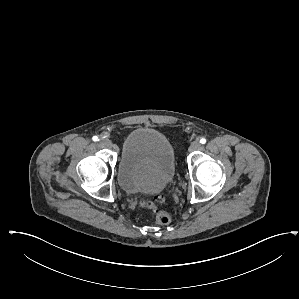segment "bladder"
I'll list each match as a JSON object with an SVG mask.
<instances>
[{
	"mask_svg": "<svg viewBox=\"0 0 299 299\" xmlns=\"http://www.w3.org/2000/svg\"><path fill=\"white\" fill-rule=\"evenodd\" d=\"M175 172V151L163 133L138 127L126 136L117 168L123 190L157 193L173 180Z\"/></svg>",
	"mask_w": 299,
	"mask_h": 299,
	"instance_id": "bladder-1",
	"label": "bladder"
}]
</instances>
